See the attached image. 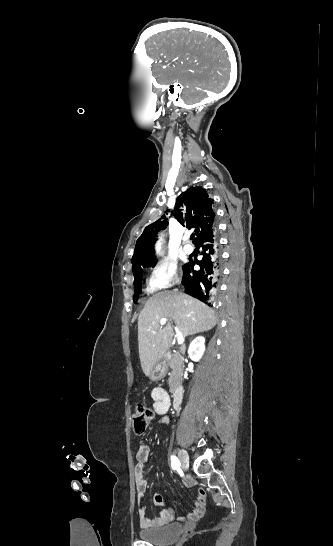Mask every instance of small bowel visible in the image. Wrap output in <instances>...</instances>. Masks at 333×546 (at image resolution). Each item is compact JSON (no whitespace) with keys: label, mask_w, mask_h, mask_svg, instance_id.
Masks as SVG:
<instances>
[{"label":"small bowel","mask_w":333,"mask_h":546,"mask_svg":"<svg viewBox=\"0 0 333 546\" xmlns=\"http://www.w3.org/2000/svg\"><path fill=\"white\" fill-rule=\"evenodd\" d=\"M151 397L153 400V409L155 413L161 416L159 422L162 425L168 423L166 413L171 406V398L168 392L161 387H155L151 391ZM150 450L145 444H141L137 451V465L135 467V484H136V498L138 503V515L140 525L143 528H158L170 523L174 518V511L172 509H164L160 513V517L150 519L146 516L144 508L145 492L148 488V477L144 471V466L149 458ZM184 485L186 487H192L193 482L191 479H184ZM154 504L161 505L164 502V496L162 494H156L154 496ZM206 508V493L203 489H198L196 493L195 507L187 515V518L191 521L200 519Z\"/></svg>","instance_id":"1"}]
</instances>
